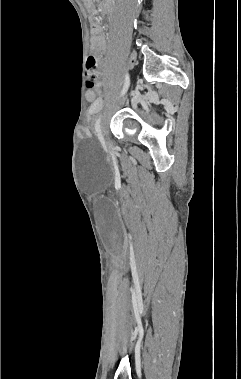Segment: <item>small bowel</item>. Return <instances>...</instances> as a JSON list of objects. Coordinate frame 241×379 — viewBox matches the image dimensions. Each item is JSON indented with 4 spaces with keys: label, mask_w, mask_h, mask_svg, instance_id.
Here are the masks:
<instances>
[{
    "label": "small bowel",
    "mask_w": 241,
    "mask_h": 379,
    "mask_svg": "<svg viewBox=\"0 0 241 379\" xmlns=\"http://www.w3.org/2000/svg\"><path fill=\"white\" fill-rule=\"evenodd\" d=\"M91 48L94 55V58L97 61H101L102 54L106 48V42L104 40V37L100 31V29L97 26H94L93 29V36L91 39ZM97 90H88L86 93V97L90 102H94L95 104L99 105L100 100L97 98Z\"/></svg>",
    "instance_id": "1"
}]
</instances>
